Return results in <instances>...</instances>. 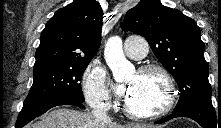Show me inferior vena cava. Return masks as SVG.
I'll return each instance as SVG.
<instances>
[{"instance_id":"inferior-vena-cava-1","label":"inferior vena cava","mask_w":221,"mask_h":128,"mask_svg":"<svg viewBox=\"0 0 221 128\" xmlns=\"http://www.w3.org/2000/svg\"><path fill=\"white\" fill-rule=\"evenodd\" d=\"M92 115L96 121H107L109 120L108 109L103 106H96L92 110Z\"/></svg>"}]
</instances>
